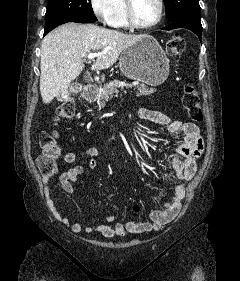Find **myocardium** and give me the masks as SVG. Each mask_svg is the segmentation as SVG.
Here are the masks:
<instances>
[{"mask_svg": "<svg viewBox=\"0 0 240 281\" xmlns=\"http://www.w3.org/2000/svg\"><path fill=\"white\" fill-rule=\"evenodd\" d=\"M158 2V14L157 17L154 21L148 24H141L139 23L136 18H135V10H134V0H125L126 3V13H127V20L128 24L130 27L135 28V29H150L155 26H157L163 16H164V8H165V3L164 0H157Z\"/></svg>", "mask_w": 240, "mask_h": 281, "instance_id": "1", "label": "myocardium"}]
</instances>
